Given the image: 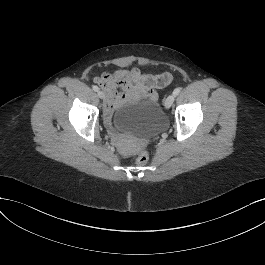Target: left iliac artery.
Here are the masks:
<instances>
[{
  "label": "left iliac artery",
  "instance_id": "1",
  "mask_svg": "<svg viewBox=\"0 0 265 265\" xmlns=\"http://www.w3.org/2000/svg\"><path fill=\"white\" fill-rule=\"evenodd\" d=\"M180 90L181 88H176L174 91H173V94L176 96L180 93Z\"/></svg>",
  "mask_w": 265,
  "mask_h": 265
}]
</instances>
